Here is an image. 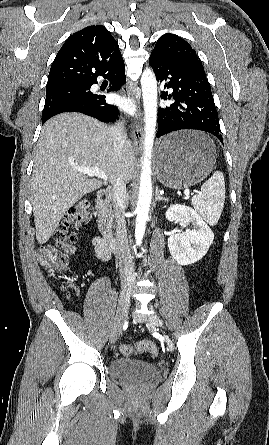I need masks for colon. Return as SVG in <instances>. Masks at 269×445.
<instances>
[{
	"label": "colon",
	"mask_w": 269,
	"mask_h": 445,
	"mask_svg": "<svg viewBox=\"0 0 269 445\" xmlns=\"http://www.w3.org/2000/svg\"><path fill=\"white\" fill-rule=\"evenodd\" d=\"M89 208L90 202L87 199H81L74 203L56 231L54 242L38 248L39 261L51 272L63 270L69 265L70 256L74 251L76 242L75 229L90 220ZM140 351H147L151 355H155L157 349L151 341H141L135 344L126 343L121 346V353L125 357H131Z\"/></svg>",
	"instance_id": "1"
}]
</instances>
